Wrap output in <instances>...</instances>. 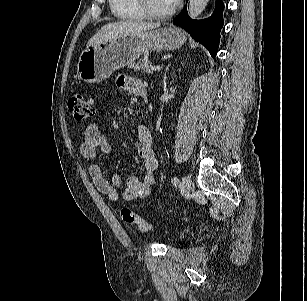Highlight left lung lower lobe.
Returning a JSON list of instances; mask_svg holds the SVG:
<instances>
[{"label": "left lung lower lobe", "mask_w": 307, "mask_h": 301, "mask_svg": "<svg viewBox=\"0 0 307 301\" xmlns=\"http://www.w3.org/2000/svg\"><path fill=\"white\" fill-rule=\"evenodd\" d=\"M222 0H216L213 14L205 20H192L185 9L178 17L174 18L173 24L184 28L197 42L203 44L215 57L219 47L220 31L223 27Z\"/></svg>", "instance_id": "0a47b994"}]
</instances>
